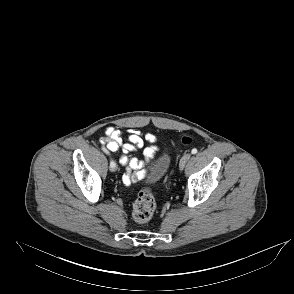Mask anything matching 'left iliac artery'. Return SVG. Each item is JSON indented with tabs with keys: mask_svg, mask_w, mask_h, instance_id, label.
Wrapping results in <instances>:
<instances>
[{
	"mask_svg": "<svg viewBox=\"0 0 294 294\" xmlns=\"http://www.w3.org/2000/svg\"><path fill=\"white\" fill-rule=\"evenodd\" d=\"M191 153L192 154H196L197 153V149L196 148L192 149Z\"/></svg>",
	"mask_w": 294,
	"mask_h": 294,
	"instance_id": "left-iliac-artery-1",
	"label": "left iliac artery"
}]
</instances>
